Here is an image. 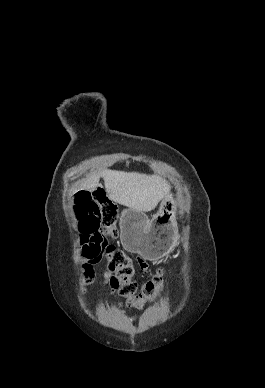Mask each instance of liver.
I'll return each instance as SVG.
<instances>
[{"mask_svg": "<svg viewBox=\"0 0 265 388\" xmlns=\"http://www.w3.org/2000/svg\"><path fill=\"white\" fill-rule=\"evenodd\" d=\"M100 178L104 180V186L108 198L132 208L136 212H151L155 210L161 200L169 196L167 182L160 176H146L137 172H114V170H102L100 174H93L81 182V190H94L102 188Z\"/></svg>", "mask_w": 265, "mask_h": 388, "instance_id": "1", "label": "liver"}]
</instances>
